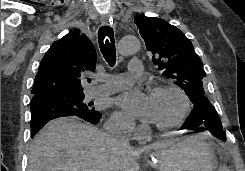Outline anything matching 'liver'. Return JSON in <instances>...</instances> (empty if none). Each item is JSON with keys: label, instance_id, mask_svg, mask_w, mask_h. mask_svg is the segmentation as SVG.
Returning <instances> with one entry per match:
<instances>
[{"label": "liver", "instance_id": "6515ba94", "mask_svg": "<svg viewBox=\"0 0 245 171\" xmlns=\"http://www.w3.org/2000/svg\"><path fill=\"white\" fill-rule=\"evenodd\" d=\"M172 142L124 147L96 127L61 118L36 135L27 171H140L137 159L143 152L166 148Z\"/></svg>", "mask_w": 245, "mask_h": 171}]
</instances>
